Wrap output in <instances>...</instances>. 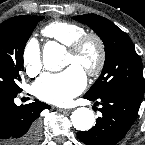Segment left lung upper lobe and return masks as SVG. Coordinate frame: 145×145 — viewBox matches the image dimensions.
<instances>
[{
    "instance_id": "1",
    "label": "left lung upper lobe",
    "mask_w": 145,
    "mask_h": 145,
    "mask_svg": "<svg viewBox=\"0 0 145 145\" xmlns=\"http://www.w3.org/2000/svg\"><path fill=\"white\" fill-rule=\"evenodd\" d=\"M73 19L86 23L105 45L104 68L85 95L99 98L112 93H127L142 99V62L130 37L114 23L96 14L75 16Z\"/></svg>"
}]
</instances>
